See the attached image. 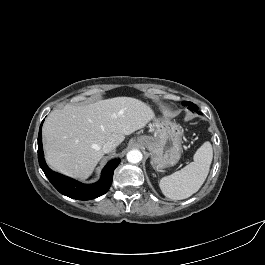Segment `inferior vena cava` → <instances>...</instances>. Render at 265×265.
<instances>
[{
	"mask_svg": "<svg viewBox=\"0 0 265 265\" xmlns=\"http://www.w3.org/2000/svg\"><path fill=\"white\" fill-rule=\"evenodd\" d=\"M116 149V146L112 142H106L103 145L102 151L104 153H110L113 152Z\"/></svg>",
	"mask_w": 265,
	"mask_h": 265,
	"instance_id": "inferior-vena-cava-1",
	"label": "inferior vena cava"
}]
</instances>
